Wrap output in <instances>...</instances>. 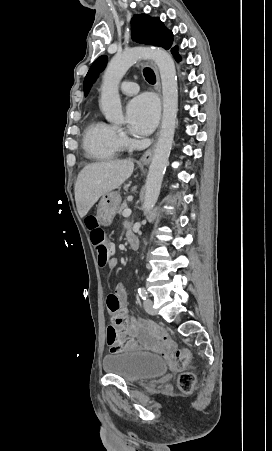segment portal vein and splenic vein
Wrapping results in <instances>:
<instances>
[{
  "mask_svg": "<svg viewBox=\"0 0 272 451\" xmlns=\"http://www.w3.org/2000/svg\"><path fill=\"white\" fill-rule=\"evenodd\" d=\"M122 216L123 218H129L131 216V210H124Z\"/></svg>",
  "mask_w": 272,
  "mask_h": 451,
  "instance_id": "18ae733b",
  "label": "portal vein and splenic vein"
}]
</instances>
